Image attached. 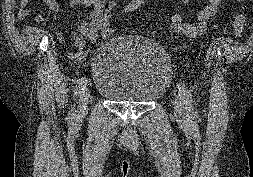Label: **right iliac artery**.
Returning a JSON list of instances; mask_svg holds the SVG:
<instances>
[{
  "mask_svg": "<svg viewBox=\"0 0 253 177\" xmlns=\"http://www.w3.org/2000/svg\"><path fill=\"white\" fill-rule=\"evenodd\" d=\"M131 9H132L131 6H127V7L125 8V11L131 10ZM87 83H88L87 77H82V78L77 82V85H76L75 91H74V96H75V97L79 96V95L81 94V92H83V91L85 90ZM72 115H74V113H73Z\"/></svg>",
  "mask_w": 253,
  "mask_h": 177,
  "instance_id": "right-iliac-artery-1",
  "label": "right iliac artery"
}]
</instances>
